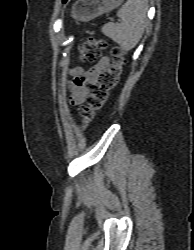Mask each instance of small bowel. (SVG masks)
<instances>
[{"label":"small bowel","mask_w":194,"mask_h":250,"mask_svg":"<svg viewBox=\"0 0 194 250\" xmlns=\"http://www.w3.org/2000/svg\"><path fill=\"white\" fill-rule=\"evenodd\" d=\"M109 65V59L104 57L91 69L86 72H81L76 69L75 79L70 84L71 95L70 101L72 104H81L85 101L88 93L87 85L95 83L98 79L99 74L107 68Z\"/></svg>","instance_id":"c3829d8e"}]
</instances>
